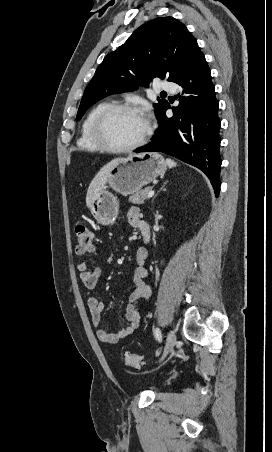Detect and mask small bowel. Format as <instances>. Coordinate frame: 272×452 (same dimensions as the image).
<instances>
[{
  "label": "small bowel",
  "mask_w": 272,
  "mask_h": 452,
  "mask_svg": "<svg viewBox=\"0 0 272 452\" xmlns=\"http://www.w3.org/2000/svg\"><path fill=\"white\" fill-rule=\"evenodd\" d=\"M140 220V210L138 207H131L128 211V221L131 226L137 227V222ZM147 258V251L139 248L136 253L137 268L132 277L133 289L129 296V304L127 306L125 319L127 324L124 328L116 332H108L101 326V312L104 304L97 296H91L87 300V307L91 314L92 324L96 327L97 338L104 343L116 344L121 339L132 335L140 325L141 308L136 305L138 300H148L151 296V289L145 283L147 277V270L144 267ZM77 270L79 271V279L87 289H93L101 275V269H90L86 263H78Z\"/></svg>",
  "instance_id": "obj_1"
}]
</instances>
